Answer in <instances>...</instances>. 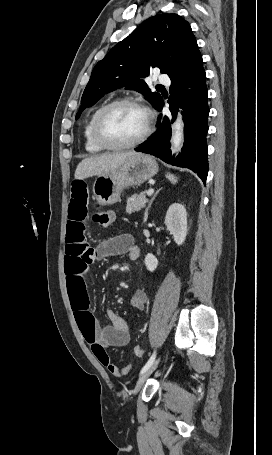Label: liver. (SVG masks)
I'll use <instances>...</instances> for the list:
<instances>
[{
  "label": "liver",
  "instance_id": "liver-1",
  "mask_svg": "<svg viewBox=\"0 0 272 455\" xmlns=\"http://www.w3.org/2000/svg\"><path fill=\"white\" fill-rule=\"evenodd\" d=\"M135 154L137 153L130 151L85 158L76 168L75 179L82 180L95 175L108 173L122 165L130 156Z\"/></svg>",
  "mask_w": 272,
  "mask_h": 455
}]
</instances>
